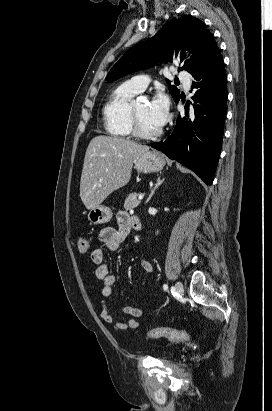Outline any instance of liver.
Returning <instances> with one entry per match:
<instances>
[{
    "label": "liver",
    "mask_w": 272,
    "mask_h": 411,
    "mask_svg": "<svg viewBox=\"0 0 272 411\" xmlns=\"http://www.w3.org/2000/svg\"><path fill=\"white\" fill-rule=\"evenodd\" d=\"M148 150V146L124 138L94 137L86 150L80 181L85 207H98L113 191L127 185L134 160Z\"/></svg>",
    "instance_id": "obj_1"
}]
</instances>
